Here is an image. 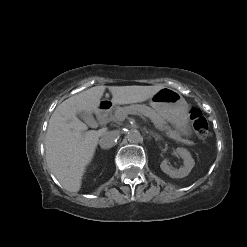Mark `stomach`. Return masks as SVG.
Returning a JSON list of instances; mask_svg holds the SVG:
<instances>
[{"label":"stomach","mask_w":247,"mask_h":247,"mask_svg":"<svg viewBox=\"0 0 247 247\" xmlns=\"http://www.w3.org/2000/svg\"><path fill=\"white\" fill-rule=\"evenodd\" d=\"M150 105L161 117L174 126L179 135L186 137L192 135L189 123V106L178 91L164 87L150 98Z\"/></svg>","instance_id":"stomach-1"}]
</instances>
